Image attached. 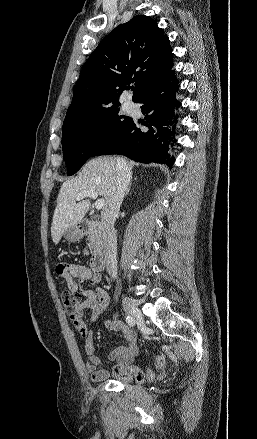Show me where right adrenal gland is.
Returning a JSON list of instances; mask_svg holds the SVG:
<instances>
[{
    "mask_svg": "<svg viewBox=\"0 0 257 439\" xmlns=\"http://www.w3.org/2000/svg\"><path fill=\"white\" fill-rule=\"evenodd\" d=\"M130 187H131V182L129 183V185H128L127 189H126L125 196H127L129 194Z\"/></svg>",
    "mask_w": 257,
    "mask_h": 439,
    "instance_id": "right-adrenal-gland-1",
    "label": "right adrenal gland"
}]
</instances>
